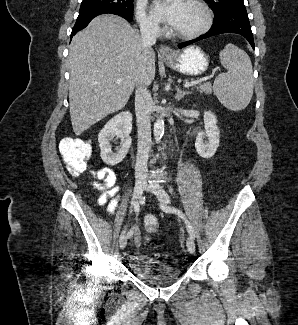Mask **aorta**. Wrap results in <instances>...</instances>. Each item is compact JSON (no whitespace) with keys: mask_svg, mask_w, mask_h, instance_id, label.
Masks as SVG:
<instances>
[{"mask_svg":"<svg viewBox=\"0 0 298 325\" xmlns=\"http://www.w3.org/2000/svg\"><path fill=\"white\" fill-rule=\"evenodd\" d=\"M164 134V118L163 116H158L157 120L154 122V136L155 140L159 142Z\"/></svg>","mask_w":298,"mask_h":325,"instance_id":"aorta-1","label":"aorta"}]
</instances>
